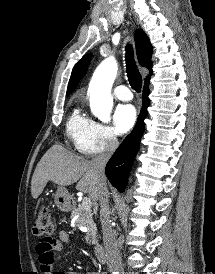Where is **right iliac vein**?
Masks as SVG:
<instances>
[{
	"instance_id": "63e3f726",
	"label": "right iliac vein",
	"mask_w": 215,
	"mask_h": 274,
	"mask_svg": "<svg viewBox=\"0 0 215 274\" xmlns=\"http://www.w3.org/2000/svg\"><path fill=\"white\" fill-rule=\"evenodd\" d=\"M121 274H128V273L122 272Z\"/></svg>"
}]
</instances>
